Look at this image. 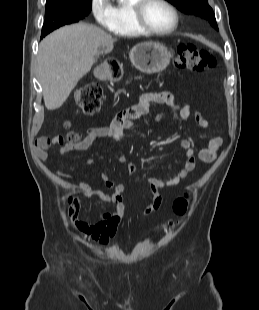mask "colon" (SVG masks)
<instances>
[{"label":"colon","mask_w":259,"mask_h":310,"mask_svg":"<svg viewBox=\"0 0 259 310\" xmlns=\"http://www.w3.org/2000/svg\"><path fill=\"white\" fill-rule=\"evenodd\" d=\"M174 65L178 69L204 71L216 65L215 57L207 50L192 43H181L176 47ZM76 111L93 115L98 112L101 106L102 91L95 83L85 84L79 87L74 94ZM199 124V123H198ZM69 145H78L81 138L76 133L67 135ZM78 199L70 200V215L77 206ZM189 205L188 195L177 198L173 203V211L177 216H183Z\"/></svg>","instance_id":"colon-1"}]
</instances>
